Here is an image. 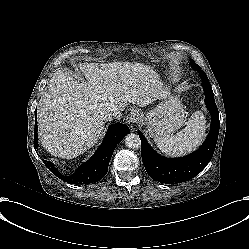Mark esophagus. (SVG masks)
<instances>
[{
	"mask_svg": "<svg viewBox=\"0 0 249 249\" xmlns=\"http://www.w3.org/2000/svg\"><path fill=\"white\" fill-rule=\"evenodd\" d=\"M139 120L140 114L137 110H132L127 117V123L132 129H134V127L138 124Z\"/></svg>",
	"mask_w": 249,
	"mask_h": 249,
	"instance_id": "obj_1",
	"label": "esophagus"
}]
</instances>
